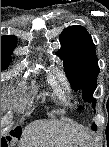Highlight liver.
Here are the masks:
<instances>
[{"mask_svg":"<svg viewBox=\"0 0 109 147\" xmlns=\"http://www.w3.org/2000/svg\"><path fill=\"white\" fill-rule=\"evenodd\" d=\"M89 133L80 126L55 119L36 120L21 135L19 147H87Z\"/></svg>","mask_w":109,"mask_h":147,"instance_id":"obj_1","label":"liver"}]
</instances>
